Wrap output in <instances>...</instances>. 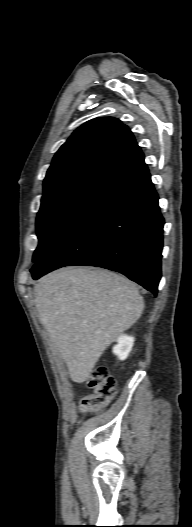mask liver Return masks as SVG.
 I'll use <instances>...</instances> for the list:
<instances>
[{
  "label": "liver",
  "instance_id": "6515ba94",
  "mask_svg": "<svg viewBox=\"0 0 192 527\" xmlns=\"http://www.w3.org/2000/svg\"><path fill=\"white\" fill-rule=\"evenodd\" d=\"M39 319L73 382L86 381L106 348L141 316L137 286L116 273L68 267L34 287Z\"/></svg>",
  "mask_w": 192,
  "mask_h": 527
}]
</instances>
